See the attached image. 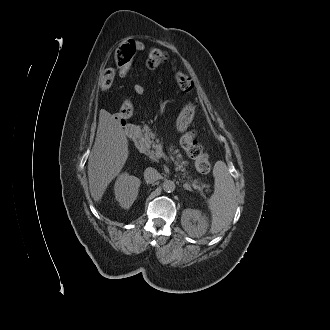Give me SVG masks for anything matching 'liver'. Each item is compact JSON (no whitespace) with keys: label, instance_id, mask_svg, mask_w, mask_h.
I'll list each match as a JSON object with an SVG mask.
<instances>
[{"label":"liver","instance_id":"1","mask_svg":"<svg viewBox=\"0 0 330 330\" xmlns=\"http://www.w3.org/2000/svg\"><path fill=\"white\" fill-rule=\"evenodd\" d=\"M128 140L119 121L102 109L94 145L88 159V181L95 202L120 173L128 158Z\"/></svg>","mask_w":330,"mask_h":330}]
</instances>
